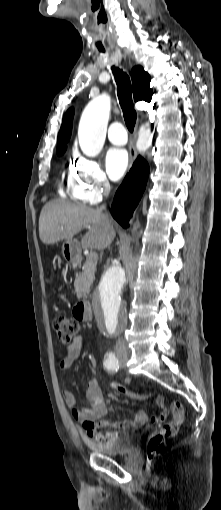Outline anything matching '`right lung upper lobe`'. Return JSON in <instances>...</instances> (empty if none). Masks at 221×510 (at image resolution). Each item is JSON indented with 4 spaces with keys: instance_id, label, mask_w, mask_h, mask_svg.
Instances as JSON below:
<instances>
[{
    "instance_id": "1",
    "label": "right lung upper lobe",
    "mask_w": 221,
    "mask_h": 510,
    "mask_svg": "<svg viewBox=\"0 0 221 510\" xmlns=\"http://www.w3.org/2000/svg\"><path fill=\"white\" fill-rule=\"evenodd\" d=\"M133 83V95L135 101H151L152 89L150 88V76L141 66L134 67L131 71ZM74 109L70 108L64 115L62 125L57 139V152L66 149V143L69 141L72 131V118Z\"/></svg>"
}]
</instances>
